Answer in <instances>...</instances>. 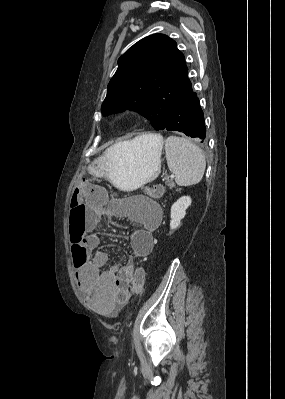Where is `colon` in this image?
Returning <instances> with one entry per match:
<instances>
[{
	"label": "colon",
	"mask_w": 285,
	"mask_h": 399,
	"mask_svg": "<svg viewBox=\"0 0 285 399\" xmlns=\"http://www.w3.org/2000/svg\"><path fill=\"white\" fill-rule=\"evenodd\" d=\"M76 190L79 192H85V193H94L97 196H101V192L96 188L95 184L91 181H82L79 182L76 185ZM144 192L152 197V198H160L164 194V188L160 184H154L152 186H147L144 189ZM85 217V214H83V210H81L78 206H74L71 211V220L72 221H78L80 219H83ZM71 241H75L73 237H71ZM84 261V258L82 259H77L75 261V265L78 267L82 264ZM144 272L140 266H137L135 273H134V278H133V289L136 292H142L143 285H144Z\"/></svg>",
	"instance_id": "5ec220e1"
}]
</instances>
